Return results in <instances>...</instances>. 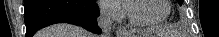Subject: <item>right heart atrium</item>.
Returning <instances> with one entry per match:
<instances>
[{"instance_id":"right-heart-atrium-1","label":"right heart atrium","mask_w":219,"mask_h":37,"mask_svg":"<svg viewBox=\"0 0 219 37\" xmlns=\"http://www.w3.org/2000/svg\"><path fill=\"white\" fill-rule=\"evenodd\" d=\"M101 8L105 16L117 20L123 17L124 8L118 0H108L101 2Z\"/></svg>"}]
</instances>
